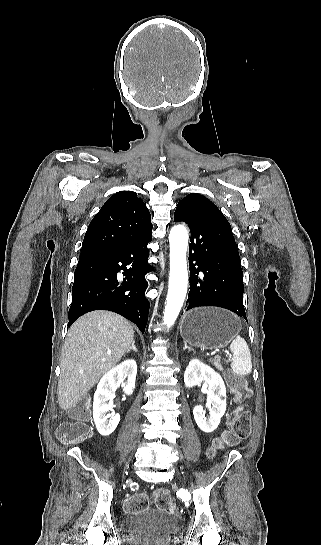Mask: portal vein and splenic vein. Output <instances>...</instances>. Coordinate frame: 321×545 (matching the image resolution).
I'll return each instance as SVG.
<instances>
[{
  "instance_id": "18ae733b",
  "label": "portal vein and splenic vein",
  "mask_w": 321,
  "mask_h": 545,
  "mask_svg": "<svg viewBox=\"0 0 321 545\" xmlns=\"http://www.w3.org/2000/svg\"><path fill=\"white\" fill-rule=\"evenodd\" d=\"M216 353H217V350L215 348H212L210 350V356H214ZM103 361H105V359H103Z\"/></svg>"
}]
</instances>
